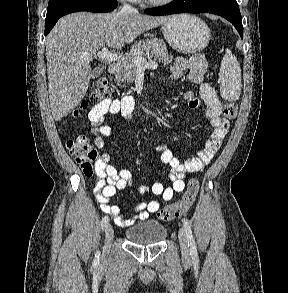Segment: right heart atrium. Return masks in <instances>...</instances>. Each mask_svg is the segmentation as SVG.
Returning <instances> with one entry per match:
<instances>
[{
  "label": "right heart atrium",
  "instance_id": "right-heart-atrium-1",
  "mask_svg": "<svg viewBox=\"0 0 288 293\" xmlns=\"http://www.w3.org/2000/svg\"><path fill=\"white\" fill-rule=\"evenodd\" d=\"M123 1H135V0H123Z\"/></svg>",
  "mask_w": 288,
  "mask_h": 293
}]
</instances>
